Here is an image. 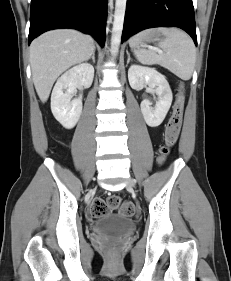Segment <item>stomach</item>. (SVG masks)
I'll list each match as a JSON object with an SVG mask.
<instances>
[{
    "label": "stomach",
    "instance_id": "0dacf381",
    "mask_svg": "<svg viewBox=\"0 0 231 281\" xmlns=\"http://www.w3.org/2000/svg\"><path fill=\"white\" fill-rule=\"evenodd\" d=\"M156 35L155 34H148L146 36L141 37V42L145 43V42H151L153 40H155Z\"/></svg>",
    "mask_w": 231,
    "mask_h": 281
}]
</instances>
